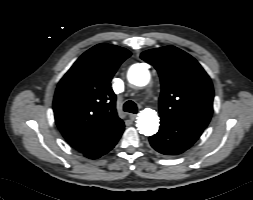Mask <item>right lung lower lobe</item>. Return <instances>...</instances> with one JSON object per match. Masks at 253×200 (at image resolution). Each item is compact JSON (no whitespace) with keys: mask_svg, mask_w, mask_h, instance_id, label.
<instances>
[{"mask_svg":"<svg viewBox=\"0 0 253 200\" xmlns=\"http://www.w3.org/2000/svg\"><path fill=\"white\" fill-rule=\"evenodd\" d=\"M122 132L115 135L111 140H109L106 144L102 145L101 147L84 153V156H86L90 159H96V158H99L102 155L106 154L116 145L117 141L119 140V138L122 135Z\"/></svg>","mask_w":253,"mask_h":200,"instance_id":"1","label":"right lung lower lobe"}]
</instances>
